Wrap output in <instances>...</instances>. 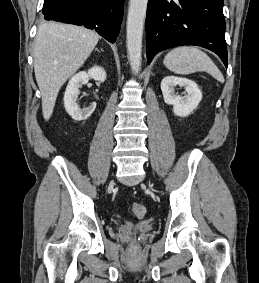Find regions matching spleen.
Returning <instances> with one entry per match:
<instances>
[{
    "mask_svg": "<svg viewBox=\"0 0 259 283\" xmlns=\"http://www.w3.org/2000/svg\"><path fill=\"white\" fill-rule=\"evenodd\" d=\"M163 63L176 74L188 75L197 71H205L219 82H224V77L214 62L196 47H177L165 56Z\"/></svg>",
    "mask_w": 259,
    "mask_h": 283,
    "instance_id": "obj_1",
    "label": "spleen"
}]
</instances>
